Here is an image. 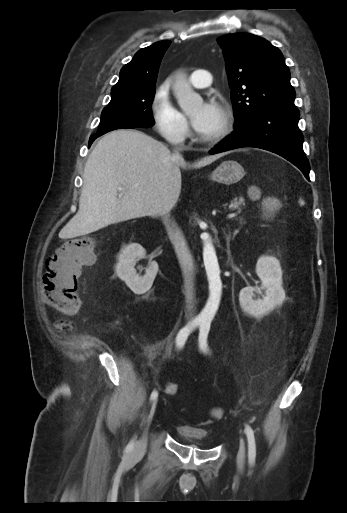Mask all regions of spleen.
<instances>
[{"mask_svg":"<svg viewBox=\"0 0 347 513\" xmlns=\"http://www.w3.org/2000/svg\"><path fill=\"white\" fill-rule=\"evenodd\" d=\"M300 205H303L304 204V201L303 200H300L299 201Z\"/></svg>","mask_w":347,"mask_h":513,"instance_id":"1","label":"spleen"}]
</instances>
